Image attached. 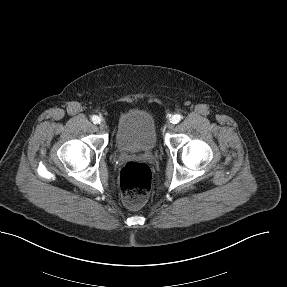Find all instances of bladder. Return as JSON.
Wrapping results in <instances>:
<instances>
[{"label":"bladder","instance_id":"obj_1","mask_svg":"<svg viewBox=\"0 0 287 287\" xmlns=\"http://www.w3.org/2000/svg\"><path fill=\"white\" fill-rule=\"evenodd\" d=\"M157 133L154 118L143 109H131L119 117L115 146L121 152H147L155 148Z\"/></svg>","mask_w":287,"mask_h":287}]
</instances>
